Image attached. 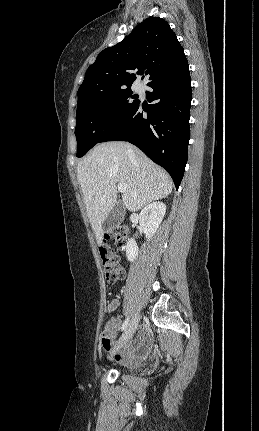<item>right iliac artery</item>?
Instances as JSON below:
<instances>
[{
  "mask_svg": "<svg viewBox=\"0 0 259 431\" xmlns=\"http://www.w3.org/2000/svg\"><path fill=\"white\" fill-rule=\"evenodd\" d=\"M129 323V317L126 318V320L124 321L123 325H122V330H125L127 325Z\"/></svg>",
  "mask_w": 259,
  "mask_h": 431,
  "instance_id": "82829eb1",
  "label": "right iliac artery"
}]
</instances>
